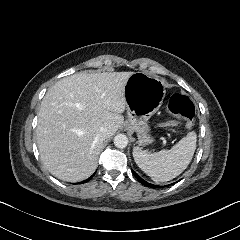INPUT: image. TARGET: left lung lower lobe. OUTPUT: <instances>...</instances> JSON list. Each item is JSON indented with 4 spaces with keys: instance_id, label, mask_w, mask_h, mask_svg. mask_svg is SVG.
Wrapping results in <instances>:
<instances>
[{
    "instance_id": "1",
    "label": "left lung lower lobe",
    "mask_w": 240,
    "mask_h": 240,
    "mask_svg": "<svg viewBox=\"0 0 240 240\" xmlns=\"http://www.w3.org/2000/svg\"><path fill=\"white\" fill-rule=\"evenodd\" d=\"M133 175L138 179L139 182H141L143 185L147 186V187H154L156 188L157 185H153L150 184L148 182H146L145 180H143L137 173H135L134 171H132Z\"/></svg>"
}]
</instances>
